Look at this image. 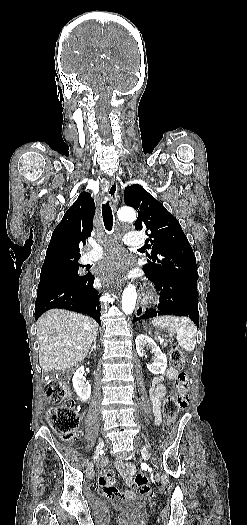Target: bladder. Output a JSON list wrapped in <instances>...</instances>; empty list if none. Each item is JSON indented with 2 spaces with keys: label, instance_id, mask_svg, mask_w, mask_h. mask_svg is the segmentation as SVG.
Listing matches in <instances>:
<instances>
[{
  "label": "bladder",
  "instance_id": "1",
  "mask_svg": "<svg viewBox=\"0 0 247 525\" xmlns=\"http://www.w3.org/2000/svg\"><path fill=\"white\" fill-rule=\"evenodd\" d=\"M151 505V498L143 495H136L132 499H123L113 505L115 511L120 513H132L137 510L147 508Z\"/></svg>",
  "mask_w": 247,
  "mask_h": 525
}]
</instances>
